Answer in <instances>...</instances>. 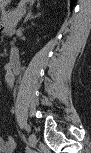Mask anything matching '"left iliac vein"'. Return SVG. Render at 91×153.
<instances>
[{"mask_svg":"<svg viewBox=\"0 0 91 153\" xmlns=\"http://www.w3.org/2000/svg\"><path fill=\"white\" fill-rule=\"evenodd\" d=\"M28 140H29L30 146L32 148H35L36 145H37V139H36L35 135L34 134H30L29 137H28Z\"/></svg>","mask_w":91,"mask_h":153,"instance_id":"4c4485c4","label":"left iliac vein"}]
</instances>
